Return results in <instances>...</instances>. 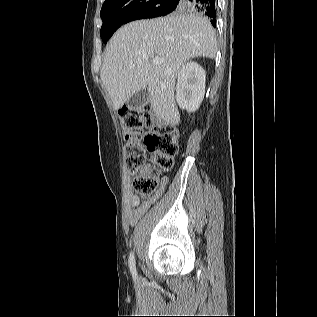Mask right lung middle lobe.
<instances>
[{
  "instance_id": "obj_1",
  "label": "right lung middle lobe",
  "mask_w": 317,
  "mask_h": 317,
  "mask_svg": "<svg viewBox=\"0 0 317 317\" xmlns=\"http://www.w3.org/2000/svg\"><path fill=\"white\" fill-rule=\"evenodd\" d=\"M173 0H105L100 16L103 25L100 30L102 41L106 43L123 24L137 19L165 16L171 12L183 11L171 5Z\"/></svg>"
}]
</instances>
